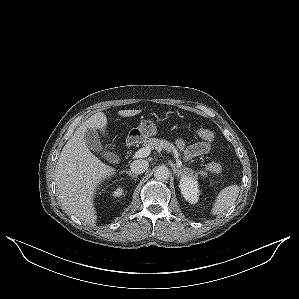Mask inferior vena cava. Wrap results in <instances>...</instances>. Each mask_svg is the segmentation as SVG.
<instances>
[{
	"label": "inferior vena cava",
	"mask_w": 299,
	"mask_h": 299,
	"mask_svg": "<svg viewBox=\"0 0 299 299\" xmlns=\"http://www.w3.org/2000/svg\"><path fill=\"white\" fill-rule=\"evenodd\" d=\"M149 167V163L146 160L139 159L131 163L130 169L134 174L144 173Z\"/></svg>",
	"instance_id": "inferior-vena-cava-1"
}]
</instances>
